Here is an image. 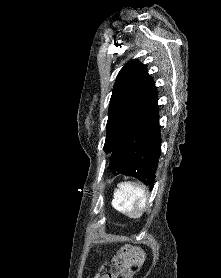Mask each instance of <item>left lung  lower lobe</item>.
Wrapping results in <instances>:
<instances>
[{"mask_svg":"<svg viewBox=\"0 0 221 278\" xmlns=\"http://www.w3.org/2000/svg\"><path fill=\"white\" fill-rule=\"evenodd\" d=\"M161 151L157 93L135 120L130 130L111 152L112 173H123L141 180L151 188Z\"/></svg>","mask_w":221,"mask_h":278,"instance_id":"left-lung-lower-lobe-1","label":"left lung lower lobe"}]
</instances>
